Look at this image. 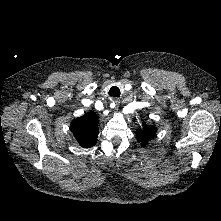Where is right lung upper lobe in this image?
I'll return each mask as SVG.
<instances>
[{
	"mask_svg": "<svg viewBox=\"0 0 221 221\" xmlns=\"http://www.w3.org/2000/svg\"><path fill=\"white\" fill-rule=\"evenodd\" d=\"M71 131L81 147L89 148L96 144L98 137V116L90 111L71 122Z\"/></svg>",
	"mask_w": 221,
	"mask_h": 221,
	"instance_id": "cb5924a9",
	"label": "right lung upper lobe"
}]
</instances>
